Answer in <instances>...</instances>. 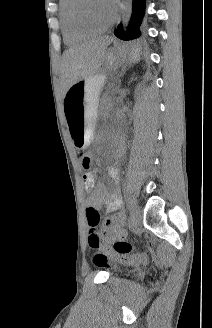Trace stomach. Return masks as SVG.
<instances>
[{
	"label": "stomach",
	"instance_id": "obj_1",
	"mask_svg": "<svg viewBox=\"0 0 212 328\" xmlns=\"http://www.w3.org/2000/svg\"><path fill=\"white\" fill-rule=\"evenodd\" d=\"M136 52V50L133 52L134 57H136ZM112 61L111 58V63ZM104 81V74L81 79L65 93V111L68 116L66 124L69 125L73 143L78 149L86 148L93 138L99 94Z\"/></svg>",
	"mask_w": 212,
	"mask_h": 328
}]
</instances>
